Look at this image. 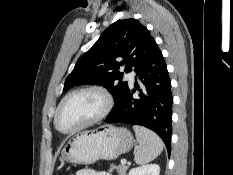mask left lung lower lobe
Segmentation results:
<instances>
[{
    "instance_id": "left-lung-lower-lobe-1",
    "label": "left lung lower lobe",
    "mask_w": 233,
    "mask_h": 175,
    "mask_svg": "<svg viewBox=\"0 0 233 175\" xmlns=\"http://www.w3.org/2000/svg\"><path fill=\"white\" fill-rule=\"evenodd\" d=\"M137 75L144 85L140 89L135 82L139 97L133 98L135 89H128L120 106L107 116L105 122L147 127L161 137L170 153L173 96L166 63L157 45L137 70Z\"/></svg>"
}]
</instances>
